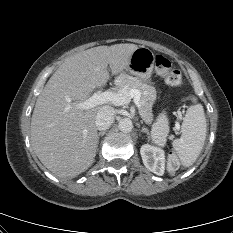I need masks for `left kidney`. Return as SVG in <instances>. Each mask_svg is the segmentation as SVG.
I'll use <instances>...</instances> for the list:
<instances>
[{
    "instance_id": "left-kidney-1",
    "label": "left kidney",
    "mask_w": 233,
    "mask_h": 233,
    "mask_svg": "<svg viewBox=\"0 0 233 233\" xmlns=\"http://www.w3.org/2000/svg\"><path fill=\"white\" fill-rule=\"evenodd\" d=\"M140 154L145 167L156 175L162 176L165 170V153L164 150L144 144L140 149Z\"/></svg>"
}]
</instances>
